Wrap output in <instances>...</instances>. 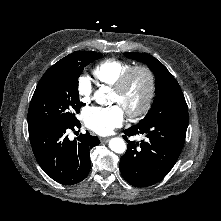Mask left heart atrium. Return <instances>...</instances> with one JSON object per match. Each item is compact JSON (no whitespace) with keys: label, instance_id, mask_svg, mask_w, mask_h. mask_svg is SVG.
<instances>
[{"label":"left heart atrium","instance_id":"1","mask_svg":"<svg viewBox=\"0 0 221 221\" xmlns=\"http://www.w3.org/2000/svg\"><path fill=\"white\" fill-rule=\"evenodd\" d=\"M85 125L99 135H108L124 122V111L120 105L90 107L83 114Z\"/></svg>","mask_w":221,"mask_h":221}]
</instances>
